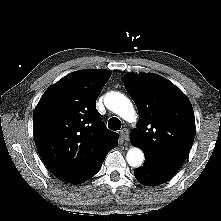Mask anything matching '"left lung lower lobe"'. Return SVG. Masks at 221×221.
I'll use <instances>...</instances> for the list:
<instances>
[{"instance_id": "left-lung-lower-lobe-1", "label": "left lung lower lobe", "mask_w": 221, "mask_h": 221, "mask_svg": "<svg viewBox=\"0 0 221 221\" xmlns=\"http://www.w3.org/2000/svg\"><path fill=\"white\" fill-rule=\"evenodd\" d=\"M176 172L145 159L143 166L134 170V175L141 184L156 186L170 180Z\"/></svg>"}]
</instances>
